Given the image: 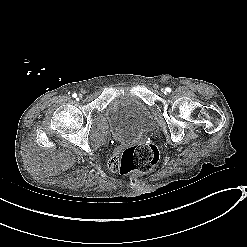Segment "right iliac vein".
Listing matches in <instances>:
<instances>
[{"instance_id":"63e3f726","label":"right iliac vein","mask_w":247,"mask_h":247,"mask_svg":"<svg viewBox=\"0 0 247 247\" xmlns=\"http://www.w3.org/2000/svg\"><path fill=\"white\" fill-rule=\"evenodd\" d=\"M79 97L81 98V97H82V95L80 94V95H79Z\"/></svg>"}]
</instances>
